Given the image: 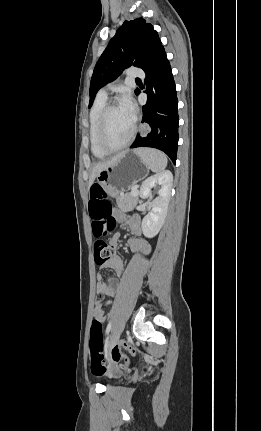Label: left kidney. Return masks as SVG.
<instances>
[{
    "label": "left kidney",
    "mask_w": 261,
    "mask_h": 431,
    "mask_svg": "<svg viewBox=\"0 0 261 431\" xmlns=\"http://www.w3.org/2000/svg\"><path fill=\"white\" fill-rule=\"evenodd\" d=\"M172 182L173 175L166 170L147 178L141 185L140 197L143 199H151V189L157 185L161 186L158 197L150 203V212L142 220V231L147 238L156 236L164 224L171 197Z\"/></svg>",
    "instance_id": "1"
}]
</instances>
